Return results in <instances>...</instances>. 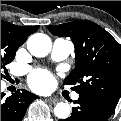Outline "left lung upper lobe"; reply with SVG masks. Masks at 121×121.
<instances>
[{"mask_svg":"<svg viewBox=\"0 0 121 121\" xmlns=\"http://www.w3.org/2000/svg\"><path fill=\"white\" fill-rule=\"evenodd\" d=\"M75 45V69L64 84L115 109L121 95V47L102 27L89 20L47 27Z\"/></svg>","mask_w":121,"mask_h":121,"instance_id":"obj_1","label":"left lung upper lobe"}]
</instances>
